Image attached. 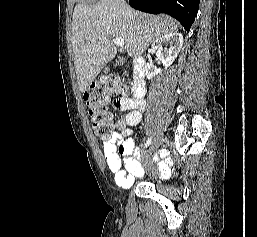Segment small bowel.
<instances>
[{
  "label": "small bowel",
  "mask_w": 257,
  "mask_h": 237,
  "mask_svg": "<svg viewBox=\"0 0 257 237\" xmlns=\"http://www.w3.org/2000/svg\"><path fill=\"white\" fill-rule=\"evenodd\" d=\"M114 106L126 114L117 120V131L113 132L111 139L103 145L102 155L117 185L127 188L132 185L135 177L143 174L139 162L140 150L136 147L130 128L140 123L146 103L141 98L124 97L115 101ZM159 171L162 177H167L171 168L167 163L161 162Z\"/></svg>",
  "instance_id": "obj_1"
}]
</instances>
